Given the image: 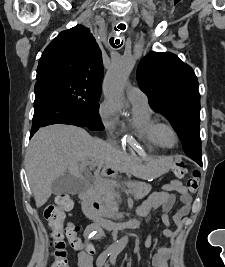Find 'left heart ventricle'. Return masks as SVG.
Listing matches in <instances>:
<instances>
[{
  "label": "left heart ventricle",
  "mask_w": 225,
  "mask_h": 267,
  "mask_svg": "<svg viewBox=\"0 0 225 267\" xmlns=\"http://www.w3.org/2000/svg\"><path fill=\"white\" fill-rule=\"evenodd\" d=\"M164 139L168 144H172L174 142V137L170 131L164 132Z\"/></svg>",
  "instance_id": "obj_1"
}]
</instances>
